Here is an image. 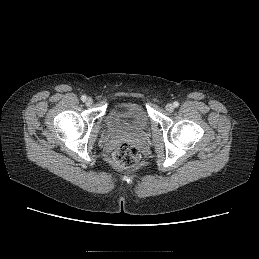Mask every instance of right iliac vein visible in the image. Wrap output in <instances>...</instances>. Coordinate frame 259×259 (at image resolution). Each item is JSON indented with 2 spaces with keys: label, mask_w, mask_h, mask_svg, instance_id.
Instances as JSON below:
<instances>
[{
  "label": "right iliac vein",
  "mask_w": 259,
  "mask_h": 259,
  "mask_svg": "<svg viewBox=\"0 0 259 259\" xmlns=\"http://www.w3.org/2000/svg\"><path fill=\"white\" fill-rule=\"evenodd\" d=\"M85 103H86L87 106H90L93 103V99L89 97V98L86 99Z\"/></svg>",
  "instance_id": "right-iliac-vein-1"
}]
</instances>
